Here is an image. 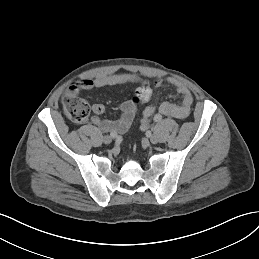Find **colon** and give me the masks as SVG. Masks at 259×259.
<instances>
[{
    "label": "colon",
    "mask_w": 259,
    "mask_h": 259,
    "mask_svg": "<svg viewBox=\"0 0 259 259\" xmlns=\"http://www.w3.org/2000/svg\"><path fill=\"white\" fill-rule=\"evenodd\" d=\"M151 94L152 88L150 84L143 83L137 88L132 101L134 104L144 103L151 97ZM64 112L73 122L81 123L87 120L90 107L84 100L74 95H66L64 99Z\"/></svg>",
    "instance_id": "colon-1"
}]
</instances>
